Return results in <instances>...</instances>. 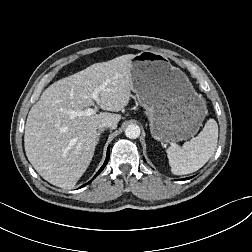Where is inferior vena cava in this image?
Segmentation results:
<instances>
[{
  "label": "inferior vena cava",
  "instance_id": "602c4592",
  "mask_svg": "<svg viewBox=\"0 0 252 252\" xmlns=\"http://www.w3.org/2000/svg\"><path fill=\"white\" fill-rule=\"evenodd\" d=\"M105 127H108V128H116V124L115 123H112V122H109V121H103L101 122L99 125H98V129H102V128H105Z\"/></svg>",
  "mask_w": 252,
  "mask_h": 252
}]
</instances>
